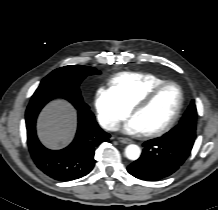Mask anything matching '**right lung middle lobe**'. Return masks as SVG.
<instances>
[{"mask_svg":"<svg viewBox=\"0 0 218 210\" xmlns=\"http://www.w3.org/2000/svg\"><path fill=\"white\" fill-rule=\"evenodd\" d=\"M100 74L93 67L70 65L58 68L47 75L32 97L47 95L82 100L79 84L88 75Z\"/></svg>","mask_w":218,"mask_h":210,"instance_id":"obj_1","label":"right lung middle lobe"}]
</instances>
